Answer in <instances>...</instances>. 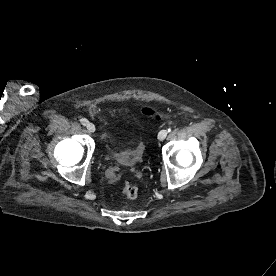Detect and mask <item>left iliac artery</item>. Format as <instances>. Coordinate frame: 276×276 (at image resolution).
Instances as JSON below:
<instances>
[{"label":"left iliac artery","mask_w":276,"mask_h":276,"mask_svg":"<svg viewBox=\"0 0 276 276\" xmlns=\"http://www.w3.org/2000/svg\"><path fill=\"white\" fill-rule=\"evenodd\" d=\"M170 131H171V129L169 128V129H168V132H170Z\"/></svg>","instance_id":"left-iliac-artery-1"}]
</instances>
